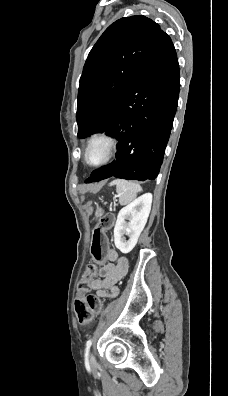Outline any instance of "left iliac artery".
I'll list each match as a JSON object with an SVG mask.
<instances>
[{"instance_id":"obj_1","label":"left iliac artery","mask_w":228,"mask_h":396,"mask_svg":"<svg viewBox=\"0 0 228 396\" xmlns=\"http://www.w3.org/2000/svg\"><path fill=\"white\" fill-rule=\"evenodd\" d=\"M91 344H92V339H89L86 342V349H85V356L86 357H88V355H89V350H90Z\"/></svg>"}]
</instances>
